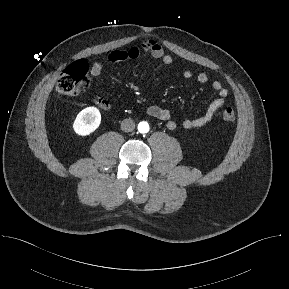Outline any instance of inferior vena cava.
Returning <instances> with one entry per match:
<instances>
[{"mask_svg": "<svg viewBox=\"0 0 289 289\" xmlns=\"http://www.w3.org/2000/svg\"><path fill=\"white\" fill-rule=\"evenodd\" d=\"M135 128V122L132 119H124L121 122V130L124 132H131Z\"/></svg>", "mask_w": 289, "mask_h": 289, "instance_id": "1", "label": "inferior vena cava"}]
</instances>
